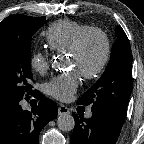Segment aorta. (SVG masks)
I'll return each mask as SVG.
<instances>
[{
  "label": "aorta",
  "instance_id": "aorta-1",
  "mask_svg": "<svg viewBox=\"0 0 144 144\" xmlns=\"http://www.w3.org/2000/svg\"><path fill=\"white\" fill-rule=\"evenodd\" d=\"M52 66L54 68H59L60 63L58 61H54L52 63ZM57 126L60 130L65 131V132L73 130L74 126H75L74 117L72 115H70L69 113L61 114L57 118Z\"/></svg>",
  "mask_w": 144,
  "mask_h": 144
}]
</instances>
